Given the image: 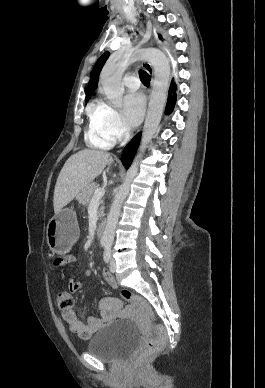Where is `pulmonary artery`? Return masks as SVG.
<instances>
[{
  "instance_id": "obj_1",
  "label": "pulmonary artery",
  "mask_w": 265,
  "mask_h": 388,
  "mask_svg": "<svg viewBox=\"0 0 265 388\" xmlns=\"http://www.w3.org/2000/svg\"><path fill=\"white\" fill-rule=\"evenodd\" d=\"M139 79L136 78V75H127V78L124 81L125 86H128L129 94H136L139 87Z\"/></svg>"
}]
</instances>
